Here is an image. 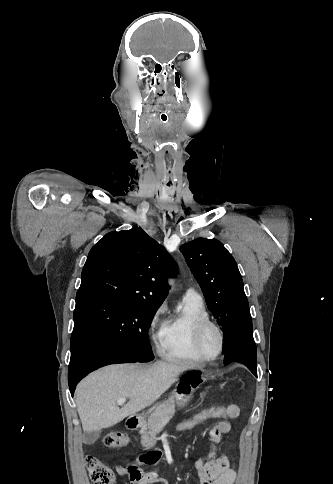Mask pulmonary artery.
I'll return each mask as SVG.
<instances>
[{"label": "pulmonary artery", "mask_w": 333, "mask_h": 484, "mask_svg": "<svg viewBox=\"0 0 333 484\" xmlns=\"http://www.w3.org/2000/svg\"><path fill=\"white\" fill-rule=\"evenodd\" d=\"M186 295L201 297V295L199 294V292L196 289H194V288L187 289Z\"/></svg>", "instance_id": "1"}]
</instances>
